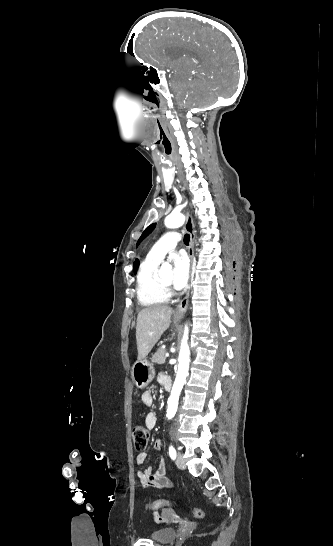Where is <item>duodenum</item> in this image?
<instances>
[{
  "label": "duodenum",
  "mask_w": 333,
  "mask_h": 546,
  "mask_svg": "<svg viewBox=\"0 0 333 546\" xmlns=\"http://www.w3.org/2000/svg\"><path fill=\"white\" fill-rule=\"evenodd\" d=\"M163 386H164V388H165L166 390H170V389H171V380H170L169 377L167 378V380L165 381V383H164Z\"/></svg>",
  "instance_id": "obj_1"
}]
</instances>
